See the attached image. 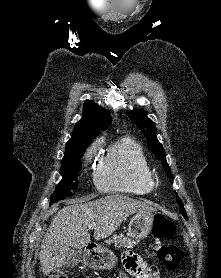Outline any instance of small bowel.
<instances>
[{
    "label": "small bowel",
    "instance_id": "small-bowel-1",
    "mask_svg": "<svg viewBox=\"0 0 221 278\" xmlns=\"http://www.w3.org/2000/svg\"><path fill=\"white\" fill-rule=\"evenodd\" d=\"M124 271L118 278H153L151 266L139 255L133 252H125L123 255Z\"/></svg>",
    "mask_w": 221,
    "mask_h": 278
}]
</instances>
